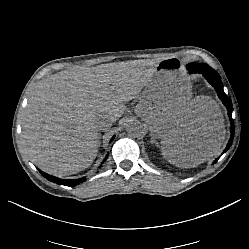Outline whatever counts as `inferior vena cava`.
<instances>
[{"label":"inferior vena cava","instance_id":"obj_1","mask_svg":"<svg viewBox=\"0 0 249 249\" xmlns=\"http://www.w3.org/2000/svg\"><path fill=\"white\" fill-rule=\"evenodd\" d=\"M95 123L99 130H108L112 126L113 120L107 114H102L95 120Z\"/></svg>","mask_w":249,"mask_h":249}]
</instances>
